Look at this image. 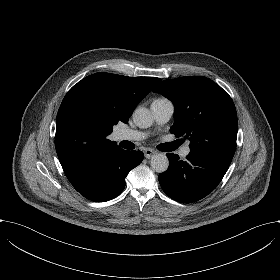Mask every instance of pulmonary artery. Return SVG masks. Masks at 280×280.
<instances>
[{
  "label": "pulmonary artery",
  "mask_w": 280,
  "mask_h": 280,
  "mask_svg": "<svg viewBox=\"0 0 280 280\" xmlns=\"http://www.w3.org/2000/svg\"><path fill=\"white\" fill-rule=\"evenodd\" d=\"M151 111L156 123L163 125L171 119L174 113V105L167 98H157L151 103ZM145 137V133L137 130L126 129L120 131V140L140 141Z\"/></svg>",
  "instance_id": "pulmonary-artery-1"
}]
</instances>
